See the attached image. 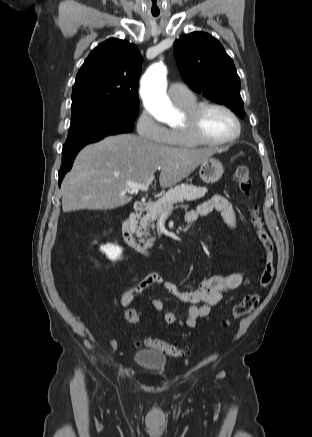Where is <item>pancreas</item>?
<instances>
[{
  "label": "pancreas",
  "instance_id": "1",
  "mask_svg": "<svg viewBox=\"0 0 312 437\" xmlns=\"http://www.w3.org/2000/svg\"><path fill=\"white\" fill-rule=\"evenodd\" d=\"M207 193L206 187H197L192 184H181L171 188L157 202L150 205L149 209L140 219L138 227V237L142 242L150 236L149 228L154 227V222L159 216L169 207L177 203H183L184 200L193 201L200 199ZM155 238L148 239V244L151 245Z\"/></svg>",
  "mask_w": 312,
  "mask_h": 437
}]
</instances>
